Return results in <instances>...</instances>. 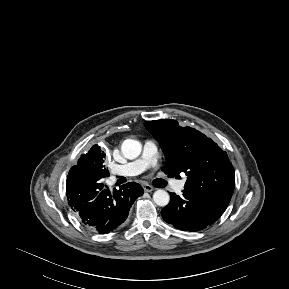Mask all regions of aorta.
Wrapping results in <instances>:
<instances>
[{
  "label": "aorta",
  "instance_id": "aorta-1",
  "mask_svg": "<svg viewBox=\"0 0 289 289\" xmlns=\"http://www.w3.org/2000/svg\"><path fill=\"white\" fill-rule=\"evenodd\" d=\"M141 143L134 139H126L121 146L122 154L128 159H135L141 153ZM153 201L158 206L164 207L168 205L170 196L165 190H157L153 194Z\"/></svg>",
  "mask_w": 289,
  "mask_h": 289
}]
</instances>
